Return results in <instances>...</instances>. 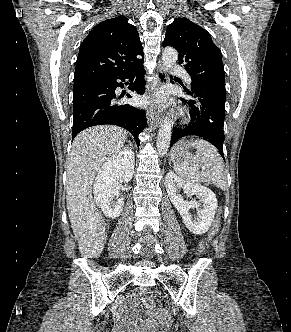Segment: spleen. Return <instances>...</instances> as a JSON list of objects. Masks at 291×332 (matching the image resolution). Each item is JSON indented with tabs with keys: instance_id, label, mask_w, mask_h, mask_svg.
Wrapping results in <instances>:
<instances>
[{
	"instance_id": "1",
	"label": "spleen",
	"mask_w": 291,
	"mask_h": 332,
	"mask_svg": "<svg viewBox=\"0 0 291 332\" xmlns=\"http://www.w3.org/2000/svg\"><path fill=\"white\" fill-rule=\"evenodd\" d=\"M197 148L192 160L174 163L175 172L188 182H207L214 186L226 189L227 180L224 172L223 160L217 149L203 139L191 142ZM202 167V171L198 167Z\"/></svg>"
}]
</instances>
